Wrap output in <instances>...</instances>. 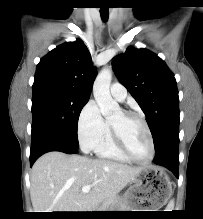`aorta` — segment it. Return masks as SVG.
I'll use <instances>...</instances> for the list:
<instances>
[{
  "instance_id": "aorta-1",
  "label": "aorta",
  "mask_w": 203,
  "mask_h": 219,
  "mask_svg": "<svg viewBox=\"0 0 203 219\" xmlns=\"http://www.w3.org/2000/svg\"><path fill=\"white\" fill-rule=\"evenodd\" d=\"M112 72L108 68H103L97 75L94 85V98L104 117H110L120 111L118 103L111 97L110 84Z\"/></svg>"
}]
</instances>
